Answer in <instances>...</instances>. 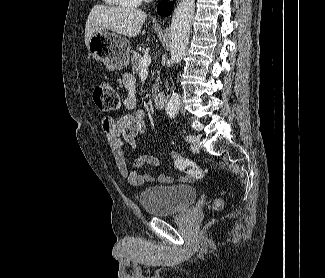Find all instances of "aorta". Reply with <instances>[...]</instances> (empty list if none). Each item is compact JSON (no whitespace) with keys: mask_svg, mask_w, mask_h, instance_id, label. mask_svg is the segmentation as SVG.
I'll return each mask as SVG.
<instances>
[{"mask_svg":"<svg viewBox=\"0 0 325 278\" xmlns=\"http://www.w3.org/2000/svg\"><path fill=\"white\" fill-rule=\"evenodd\" d=\"M195 11V0H180L176 6L171 27V61L178 64L184 57L191 30V21ZM180 106V97L173 93L167 104L166 113L170 118H174Z\"/></svg>","mask_w":325,"mask_h":278,"instance_id":"762f6f07","label":"aorta"}]
</instances>
